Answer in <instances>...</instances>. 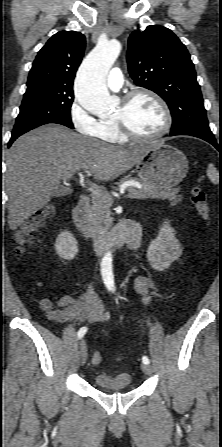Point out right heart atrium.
I'll use <instances>...</instances> for the list:
<instances>
[{"mask_svg": "<svg viewBox=\"0 0 222 447\" xmlns=\"http://www.w3.org/2000/svg\"><path fill=\"white\" fill-rule=\"evenodd\" d=\"M70 120L74 129L83 135H95L98 121L86 112L78 102H74L69 110Z\"/></svg>", "mask_w": 222, "mask_h": 447, "instance_id": "1", "label": "right heart atrium"}]
</instances>
